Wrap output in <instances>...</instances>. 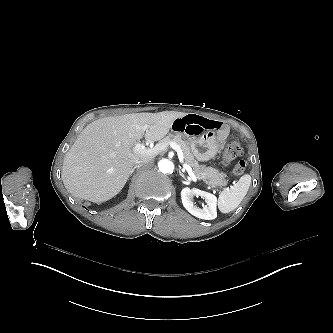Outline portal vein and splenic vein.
Returning a JSON list of instances; mask_svg holds the SVG:
<instances>
[{"label":"portal vein and splenic vein","instance_id":"1","mask_svg":"<svg viewBox=\"0 0 333 333\" xmlns=\"http://www.w3.org/2000/svg\"><path fill=\"white\" fill-rule=\"evenodd\" d=\"M148 127H149L148 125H144L143 130L146 131ZM170 147L174 151L177 152L179 164L182 166V168L185 169L186 171H188L191 179L194 182H197V177L192 172L191 166L184 161V154H183V151L181 150L180 146L177 143H175V142H171L170 143ZM165 149H166V145L165 144H158V145H156L153 148H146V146L143 145L142 143H137L135 145V152H137L138 154H140L142 156H155V155H157L158 153L162 152ZM212 188H214L216 190L217 188H221V187L212 185ZM227 189L228 188H226V190Z\"/></svg>","mask_w":333,"mask_h":333}]
</instances>
